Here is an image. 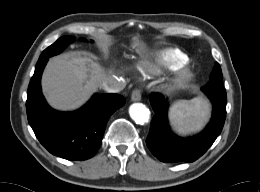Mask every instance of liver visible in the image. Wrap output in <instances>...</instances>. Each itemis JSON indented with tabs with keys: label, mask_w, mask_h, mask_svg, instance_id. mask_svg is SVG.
I'll return each instance as SVG.
<instances>
[{
	"label": "liver",
	"mask_w": 260,
	"mask_h": 192,
	"mask_svg": "<svg viewBox=\"0 0 260 192\" xmlns=\"http://www.w3.org/2000/svg\"><path fill=\"white\" fill-rule=\"evenodd\" d=\"M105 77V69L90 57L55 56L42 75V90L53 108L75 110L98 91Z\"/></svg>",
	"instance_id": "1"
}]
</instances>
